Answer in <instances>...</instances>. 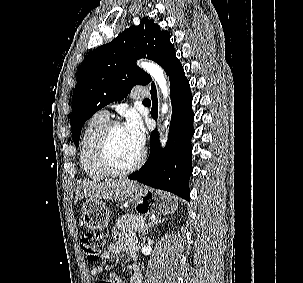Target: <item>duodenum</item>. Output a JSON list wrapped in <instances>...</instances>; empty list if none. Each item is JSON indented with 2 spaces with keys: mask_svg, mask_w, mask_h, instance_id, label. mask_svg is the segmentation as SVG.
I'll list each match as a JSON object with an SVG mask.
<instances>
[{
  "mask_svg": "<svg viewBox=\"0 0 303 283\" xmlns=\"http://www.w3.org/2000/svg\"><path fill=\"white\" fill-rule=\"evenodd\" d=\"M133 283H138V281L135 279V280L133 281Z\"/></svg>",
  "mask_w": 303,
  "mask_h": 283,
  "instance_id": "obj_1",
  "label": "duodenum"
}]
</instances>
